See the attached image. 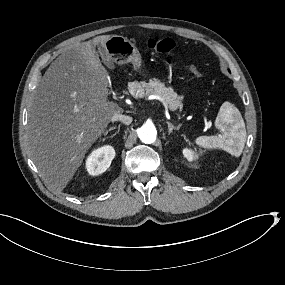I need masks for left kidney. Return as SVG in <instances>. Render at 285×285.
Instances as JSON below:
<instances>
[{"label":"left kidney","mask_w":285,"mask_h":285,"mask_svg":"<svg viewBox=\"0 0 285 285\" xmlns=\"http://www.w3.org/2000/svg\"><path fill=\"white\" fill-rule=\"evenodd\" d=\"M182 153L184 157L190 162L197 160L199 157V154L195 153L192 149L188 148H184L182 150Z\"/></svg>","instance_id":"obj_1"}]
</instances>
